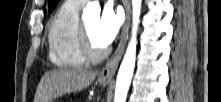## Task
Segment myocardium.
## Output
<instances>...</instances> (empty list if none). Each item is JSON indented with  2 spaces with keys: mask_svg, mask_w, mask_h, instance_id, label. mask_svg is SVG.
Instances as JSON below:
<instances>
[{
  "mask_svg": "<svg viewBox=\"0 0 221 102\" xmlns=\"http://www.w3.org/2000/svg\"><path fill=\"white\" fill-rule=\"evenodd\" d=\"M79 42L83 56L86 60L96 62L101 60L107 54V48L96 47L93 45L84 22H80Z\"/></svg>",
  "mask_w": 221,
  "mask_h": 102,
  "instance_id": "obj_1",
  "label": "myocardium"
}]
</instances>
